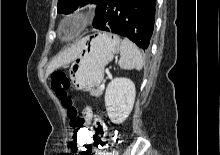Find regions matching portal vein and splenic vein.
<instances>
[{
	"label": "portal vein and splenic vein",
	"mask_w": 220,
	"mask_h": 155,
	"mask_svg": "<svg viewBox=\"0 0 220 155\" xmlns=\"http://www.w3.org/2000/svg\"><path fill=\"white\" fill-rule=\"evenodd\" d=\"M104 88H105V84L102 83V84L100 85V89L103 90Z\"/></svg>",
	"instance_id": "1"
}]
</instances>
